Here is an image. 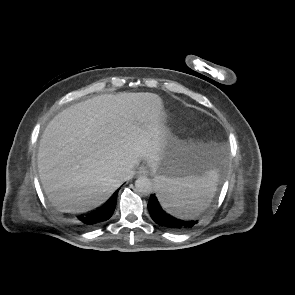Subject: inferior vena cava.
I'll return each mask as SVG.
<instances>
[{
	"instance_id": "obj_1",
	"label": "inferior vena cava",
	"mask_w": 295,
	"mask_h": 295,
	"mask_svg": "<svg viewBox=\"0 0 295 295\" xmlns=\"http://www.w3.org/2000/svg\"><path fill=\"white\" fill-rule=\"evenodd\" d=\"M133 175H134V172H133V171H130L127 175H125V176L123 177V180H124V181H125V180H129L130 178L133 177Z\"/></svg>"
}]
</instances>
